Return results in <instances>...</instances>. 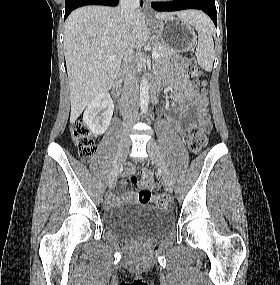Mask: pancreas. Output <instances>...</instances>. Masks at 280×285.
Instances as JSON below:
<instances>
[{
  "mask_svg": "<svg viewBox=\"0 0 280 285\" xmlns=\"http://www.w3.org/2000/svg\"><path fill=\"white\" fill-rule=\"evenodd\" d=\"M153 50L159 53V58L169 57L175 53L174 49L165 45L163 42L159 41L158 39H155L153 42ZM142 68H145V65L142 63H139L137 65L138 71L139 72L142 71Z\"/></svg>",
  "mask_w": 280,
  "mask_h": 285,
  "instance_id": "1",
  "label": "pancreas"
}]
</instances>
